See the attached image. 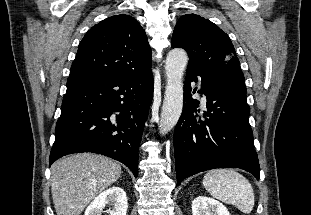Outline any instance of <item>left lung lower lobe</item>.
<instances>
[{
    "label": "left lung lower lobe",
    "instance_id": "0a47b994",
    "mask_svg": "<svg viewBox=\"0 0 311 215\" xmlns=\"http://www.w3.org/2000/svg\"><path fill=\"white\" fill-rule=\"evenodd\" d=\"M201 81L206 96L204 113L192 98L191 82ZM245 93L229 89L206 71L189 63L184 84L181 117L174 130L177 183L196 173L215 168H241L257 179L260 167L249 124Z\"/></svg>",
    "mask_w": 311,
    "mask_h": 215
}]
</instances>
